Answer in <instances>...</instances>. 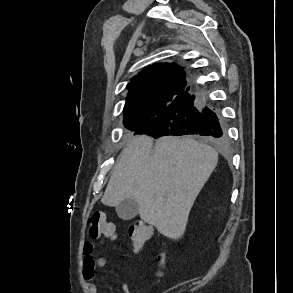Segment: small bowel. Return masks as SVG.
Instances as JSON below:
<instances>
[{
  "label": "small bowel",
  "instance_id": "small-bowel-1",
  "mask_svg": "<svg viewBox=\"0 0 293 293\" xmlns=\"http://www.w3.org/2000/svg\"><path fill=\"white\" fill-rule=\"evenodd\" d=\"M94 244L91 241H85L83 244V256H82V270L85 277V286L88 293H97L98 289L93 281L94 271L97 268H103L106 264V260L102 256H94ZM121 293H130V289L127 285H121Z\"/></svg>",
  "mask_w": 293,
  "mask_h": 293
}]
</instances>
